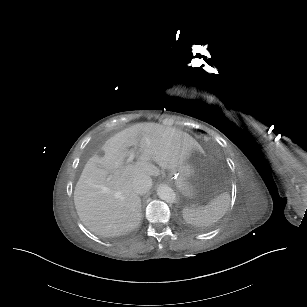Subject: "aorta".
<instances>
[{
    "label": "aorta",
    "instance_id": "aorta-1",
    "mask_svg": "<svg viewBox=\"0 0 307 307\" xmlns=\"http://www.w3.org/2000/svg\"><path fill=\"white\" fill-rule=\"evenodd\" d=\"M159 198L165 202H174L176 200V193L174 190L166 185H160L157 189Z\"/></svg>",
    "mask_w": 307,
    "mask_h": 307
}]
</instances>
